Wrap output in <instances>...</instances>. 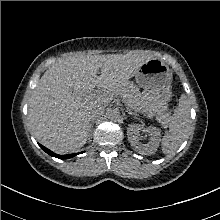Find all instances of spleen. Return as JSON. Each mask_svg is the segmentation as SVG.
<instances>
[{"label":"spleen","instance_id":"spleen-1","mask_svg":"<svg viewBox=\"0 0 220 220\" xmlns=\"http://www.w3.org/2000/svg\"><path fill=\"white\" fill-rule=\"evenodd\" d=\"M190 127V107L186 95L179 98L178 107L169 118V132L163 136L161 148L164 154H172L178 150L188 135Z\"/></svg>","mask_w":220,"mask_h":220}]
</instances>
